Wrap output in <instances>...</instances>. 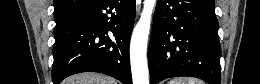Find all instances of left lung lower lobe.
Here are the masks:
<instances>
[{
    "instance_id": "left-lung-lower-lobe-1",
    "label": "left lung lower lobe",
    "mask_w": 260,
    "mask_h": 84,
    "mask_svg": "<svg viewBox=\"0 0 260 84\" xmlns=\"http://www.w3.org/2000/svg\"><path fill=\"white\" fill-rule=\"evenodd\" d=\"M214 0H157L148 51L151 84L192 76L220 84Z\"/></svg>"
}]
</instances>
